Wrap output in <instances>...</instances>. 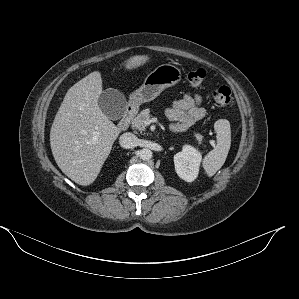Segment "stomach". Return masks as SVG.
I'll return each mask as SVG.
<instances>
[{"label":"stomach","instance_id":"0dacf381","mask_svg":"<svg viewBox=\"0 0 299 299\" xmlns=\"http://www.w3.org/2000/svg\"><path fill=\"white\" fill-rule=\"evenodd\" d=\"M181 78V70L175 65L169 63L159 65L147 75L142 86L131 94V105L139 107L154 100L164 89L178 84Z\"/></svg>","mask_w":299,"mask_h":299}]
</instances>
